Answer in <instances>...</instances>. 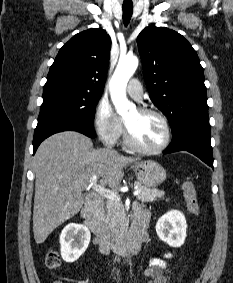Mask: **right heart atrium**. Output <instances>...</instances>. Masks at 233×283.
I'll return each mask as SVG.
<instances>
[{"label": "right heart atrium", "mask_w": 233, "mask_h": 283, "mask_svg": "<svg viewBox=\"0 0 233 283\" xmlns=\"http://www.w3.org/2000/svg\"><path fill=\"white\" fill-rule=\"evenodd\" d=\"M93 122L99 138L105 144L114 145L118 142L123 133V122L107 101L98 102Z\"/></svg>", "instance_id": "d8ad5b80"}]
</instances>
